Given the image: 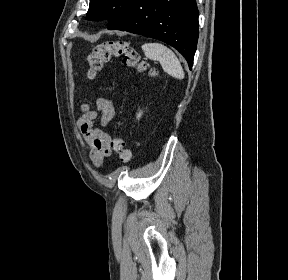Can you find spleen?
Returning <instances> with one entry per match:
<instances>
[{
    "mask_svg": "<svg viewBox=\"0 0 288 280\" xmlns=\"http://www.w3.org/2000/svg\"><path fill=\"white\" fill-rule=\"evenodd\" d=\"M142 50L149 59L159 61L166 73L177 79L184 78L180 61L171 49L161 43H145Z\"/></svg>",
    "mask_w": 288,
    "mask_h": 280,
    "instance_id": "1",
    "label": "spleen"
}]
</instances>
